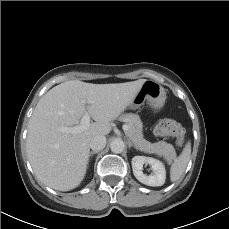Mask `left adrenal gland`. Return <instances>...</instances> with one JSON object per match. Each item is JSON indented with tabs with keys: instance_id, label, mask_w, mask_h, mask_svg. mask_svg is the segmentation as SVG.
I'll return each instance as SVG.
<instances>
[{
	"instance_id": "a2214340",
	"label": "left adrenal gland",
	"mask_w": 229,
	"mask_h": 229,
	"mask_svg": "<svg viewBox=\"0 0 229 229\" xmlns=\"http://www.w3.org/2000/svg\"><path fill=\"white\" fill-rule=\"evenodd\" d=\"M128 146H129V148H131V147H135L132 143H131V141L130 140H128ZM136 148V147H135ZM137 149V148H136Z\"/></svg>"
}]
</instances>
